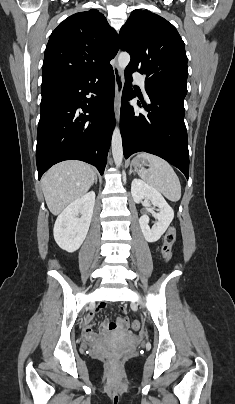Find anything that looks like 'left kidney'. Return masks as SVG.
Here are the masks:
<instances>
[{
	"mask_svg": "<svg viewBox=\"0 0 235 404\" xmlns=\"http://www.w3.org/2000/svg\"><path fill=\"white\" fill-rule=\"evenodd\" d=\"M131 194L136 203H140L143 199H149L154 207H158L159 213L154 214L157 221L153 228L149 226V217L147 215H142L139 219L145 240L150 243L158 241L174 218L173 209L159 191L140 179L132 181Z\"/></svg>",
	"mask_w": 235,
	"mask_h": 404,
	"instance_id": "left-kidney-1",
	"label": "left kidney"
}]
</instances>
